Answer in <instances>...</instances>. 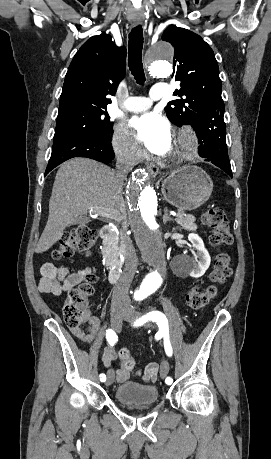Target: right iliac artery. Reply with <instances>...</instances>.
I'll list each match as a JSON object with an SVG mask.
<instances>
[{
    "label": "right iliac artery",
    "instance_id": "obj_1",
    "mask_svg": "<svg viewBox=\"0 0 271 459\" xmlns=\"http://www.w3.org/2000/svg\"><path fill=\"white\" fill-rule=\"evenodd\" d=\"M106 339L109 342L111 346H114V344L118 341V336L112 329L106 330ZM100 381L104 382L106 381V375L105 374H100Z\"/></svg>",
    "mask_w": 271,
    "mask_h": 459
}]
</instances>
